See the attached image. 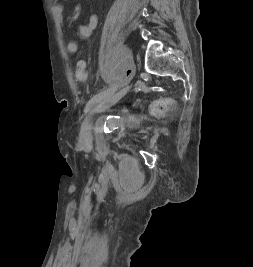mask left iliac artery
Here are the masks:
<instances>
[{"mask_svg": "<svg viewBox=\"0 0 253 267\" xmlns=\"http://www.w3.org/2000/svg\"><path fill=\"white\" fill-rule=\"evenodd\" d=\"M117 88H118V85L116 84L114 87L108 88V89H106V90L100 92L99 94L95 95L94 97H92V98L88 101V103H87V105H86V107H85V113H88V112L90 111L91 107H92L94 104L99 103L100 100L102 99V97H103L105 94L114 92V91L117 90Z\"/></svg>", "mask_w": 253, "mask_h": 267, "instance_id": "1", "label": "left iliac artery"}]
</instances>
